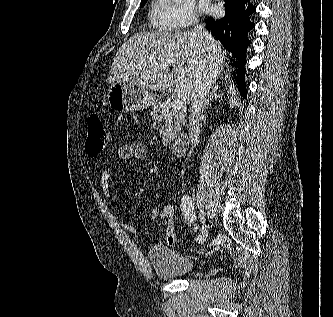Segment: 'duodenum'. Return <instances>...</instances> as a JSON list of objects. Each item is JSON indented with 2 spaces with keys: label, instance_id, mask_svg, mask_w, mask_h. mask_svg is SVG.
Returning <instances> with one entry per match:
<instances>
[{
  "label": "duodenum",
  "instance_id": "obj_1",
  "mask_svg": "<svg viewBox=\"0 0 333 317\" xmlns=\"http://www.w3.org/2000/svg\"><path fill=\"white\" fill-rule=\"evenodd\" d=\"M189 146V137L187 134L182 133L178 135L172 142L171 151L176 157L183 156Z\"/></svg>",
  "mask_w": 333,
  "mask_h": 317
}]
</instances>
